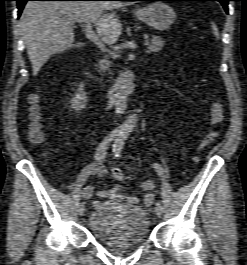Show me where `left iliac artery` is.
<instances>
[{
    "instance_id": "44dca946",
    "label": "left iliac artery",
    "mask_w": 247,
    "mask_h": 265,
    "mask_svg": "<svg viewBox=\"0 0 247 265\" xmlns=\"http://www.w3.org/2000/svg\"><path fill=\"white\" fill-rule=\"evenodd\" d=\"M127 138V134L126 133H122L116 140L115 143L113 144V152L115 157H120L121 156V150L122 147L124 145V142ZM153 168L156 170V172L160 175V176H164V169L162 168V166L158 163H154L153 164Z\"/></svg>"
}]
</instances>
